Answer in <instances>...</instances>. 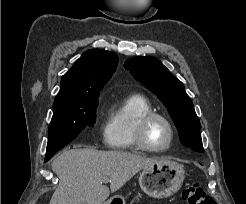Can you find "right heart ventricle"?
<instances>
[{
  "label": "right heart ventricle",
  "mask_w": 246,
  "mask_h": 204,
  "mask_svg": "<svg viewBox=\"0 0 246 204\" xmlns=\"http://www.w3.org/2000/svg\"><path fill=\"white\" fill-rule=\"evenodd\" d=\"M153 111L151 102L143 95L132 94L113 105L104 128V141L113 150L140 149L135 141L139 119Z\"/></svg>",
  "instance_id": "1"
}]
</instances>
